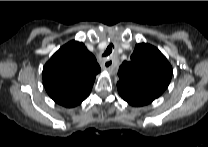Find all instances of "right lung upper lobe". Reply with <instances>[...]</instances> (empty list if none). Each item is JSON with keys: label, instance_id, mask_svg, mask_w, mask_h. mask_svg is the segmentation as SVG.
Instances as JSON below:
<instances>
[{"label": "right lung upper lobe", "instance_id": "cb5924a9", "mask_svg": "<svg viewBox=\"0 0 208 147\" xmlns=\"http://www.w3.org/2000/svg\"><path fill=\"white\" fill-rule=\"evenodd\" d=\"M101 71L96 58L81 42L62 46L43 67V83L48 95L64 107L79 105L88 97Z\"/></svg>", "mask_w": 208, "mask_h": 147}]
</instances>
